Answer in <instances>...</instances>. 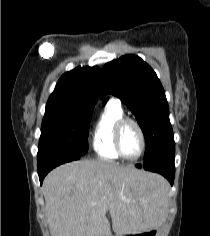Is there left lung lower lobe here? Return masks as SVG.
<instances>
[{
  "label": "left lung lower lobe",
  "mask_w": 210,
  "mask_h": 236,
  "mask_svg": "<svg viewBox=\"0 0 210 236\" xmlns=\"http://www.w3.org/2000/svg\"><path fill=\"white\" fill-rule=\"evenodd\" d=\"M174 159L175 142L172 140L157 149L149 158L144 159L142 164L136 166L162 174L169 180L170 184L173 185L175 176Z\"/></svg>",
  "instance_id": "0a47b994"
}]
</instances>
